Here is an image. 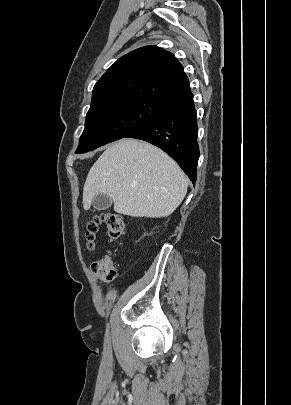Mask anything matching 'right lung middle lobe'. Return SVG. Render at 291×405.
<instances>
[{
	"label": "right lung middle lobe",
	"instance_id": "right-lung-middle-lobe-1",
	"mask_svg": "<svg viewBox=\"0 0 291 405\" xmlns=\"http://www.w3.org/2000/svg\"><path fill=\"white\" fill-rule=\"evenodd\" d=\"M166 103L144 98H129L91 107L76 154L125 138L154 118Z\"/></svg>",
	"mask_w": 291,
	"mask_h": 405
}]
</instances>
